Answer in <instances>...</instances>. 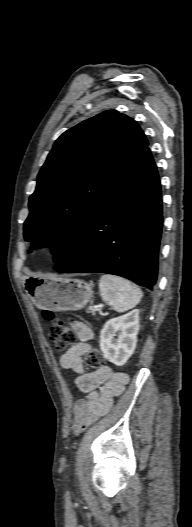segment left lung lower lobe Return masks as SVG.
Listing matches in <instances>:
<instances>
[{
    "instance_id": "0a47b994",
    "label": "left lung lower lobe",
    "mask_w": 192,
    "mask_h": 527,
    "mask_svg": "<svg viewBox=\"0 0 192 527\" xmlns=\"http://www.w3.org/2000/svg\"><path fill=\"white\" fill-rule=\"evenodd\" d=\"M162 224L160 180L147 147L107 191L54 269L114 274L153 289Z\"/></svg>"
}]
</instances>
